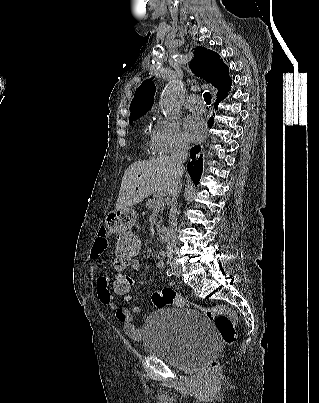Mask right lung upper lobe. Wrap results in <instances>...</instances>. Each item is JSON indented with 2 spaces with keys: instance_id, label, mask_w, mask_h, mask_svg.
Here are the masks:
<instances>
[{
  "instance_id": "obj_1",
  "label": "right lung upper lobe",
  "mask_w": 319,
  "mask_h": 403,
  "mask_svg": "<svg viewBox=\"0 0 319 403\" xmlns=\"http://www.w3.org/2000/svg\"><path fill=\"white\" fill-rule=\"evenodd\" d=\"M190 68L196 75L217 88V97H222L230 91L232 82L228 66L222 62L216 52L197 47ZM152 79L145 80L136 90L130 104V119L142 116L152 107L155 94V84Z\"/></svg>"
}]
</instances>
